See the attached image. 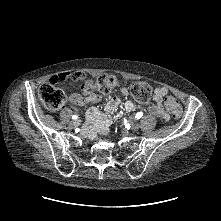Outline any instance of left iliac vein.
<instances>
[{"label":"left iliac vein","instance_id":"4c4485c4","mask_svg":"<svg viewBox=\"0 0 221 221\" xmlns=\"http://www.w3.org/2000/svg\"><path fill=\"white\" fill-rule=\"evenodd\" d=\"M140 128V125L139 123H133L132 126H131V131H138Z\"/></svg>","mask_w":221,"mask_h":221}]
</instances>
